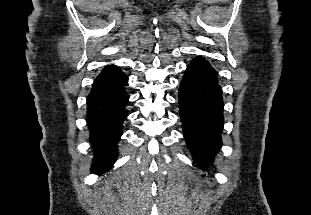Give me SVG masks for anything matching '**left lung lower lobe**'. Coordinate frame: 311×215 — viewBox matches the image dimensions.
<instances>
[{"label": "left lung lower lobe", "mask_w": 311, "mask_h": 215, "mask_svg": "<svg viewBox=\"0 0 311 215\" xmlns=\"http://www.w3.org/2000/svg\"><path fill=\"white\" fill-rule=\"evenodd\" d=\"M178 97L187 146L197 163L207 165L221 146L223 98L217 73L206 60L190 63Z\"/></svg>", "instance_id": "obj_1"}]
</instances>
